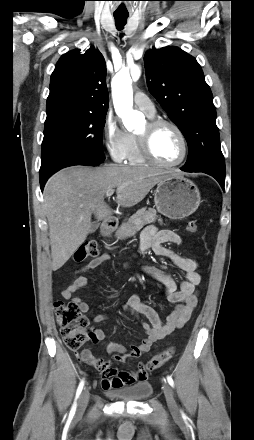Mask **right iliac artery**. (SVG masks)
<instances>
[{
  "instance_id": "82829eb1",
  "label": "right iliac artery",
  "mask_w": 254,
  "mask_h": 440,
  "mask_svg": "<svg viewBox=\"0 0 254 440\" xmlns=\"http://www.w3.org/2000/svg\"><path fill=\"white\" fill-rule=\"evenodd\" d=\"M83 386H84V380H82V381L80 382V384H79V386H78V388H77L75 402H74V404H73V406H72V409H71V412H70V413H72V414L75 413V410H76V400L78 399V397H79V395H80V393H81V391H82V389H83Z\"/></svg>"
}]
</instances>
